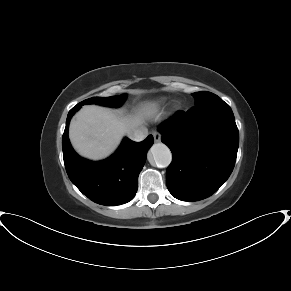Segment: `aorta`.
<instances>
[{
	"label": "aorta",
	"instance_id": "aorta-1",
	"mask_svg": "<svg viewBox=\"0 0 291 291\" xmlns=\"http://www.w3.org/2000/svg\"><path fill=\"white\" fill-rule=\"evenodd\" d=\"M150 153L154 163L159 168L168 167L172 161V153L170 149L163 143L154 144L150 149Z\"/></svg>",
	"mask_w": 291,
	"mask_h": 291
}]
</instances>
